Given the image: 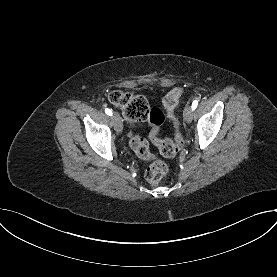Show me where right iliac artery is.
I'll list each match as a JSON object with an SVG mask.
<instances>
[{"label": "right iliac artery", "instance_id": "obj_1", "mask_svg": "<svg viewBox=\"0 0 277 277\" xmlns=\"http://www.w3.org/2000/svg\"><path fill=\"white\" fill-rule=\"evenodd\" d=\"M105 113L107 114V115H109V116H111L112 115V111L110 110V109H105Z\"/></svg>", "mask_w": 277, "mask_h": 277}]
</instances>
